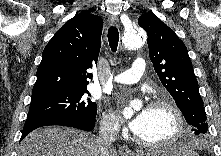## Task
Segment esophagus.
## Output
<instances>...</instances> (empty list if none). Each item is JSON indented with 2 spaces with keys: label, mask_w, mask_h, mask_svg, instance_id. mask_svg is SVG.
I'll return each mask as SVG.
<instances>
[{
  "label": "esophagus",
  "mask_w": 221,
  "mask_h": 156,
  "mask_svg": "<svg viewBox=\"0 0 221 156\" xmlns=\"http://www.w3.org/2000/svg\"><path fill=\"white\" fill-rule=\"evenodd\" d=\"M109 23H110V25L116 27V26L119 25V20H118L117 17L111 16V17L109 18ZM119 154H120L121 156H135L134 152H132V151L129 149V147H128V146H125V145L119 147Z\"/></svg>",
  "instance_id": "34e87169"
}]
</instances>
